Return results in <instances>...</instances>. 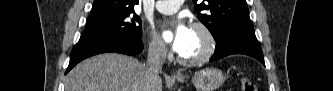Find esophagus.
<instances>
[{"instance_id": "esophagus-1", "label": "esophagus", "mask_w": 333, "mask_h": 91, "mask_svg": "<svg viewBox=\"0 0 333 91\" xmlns=\"http://www.w3.org/2000/svg\"><path fill=\"white\" fill-rule=\"evenodd\" d=\"M173 75H174V76H179V75H180V73H178V72H175Z\"/></svg>"}]
</instances>
